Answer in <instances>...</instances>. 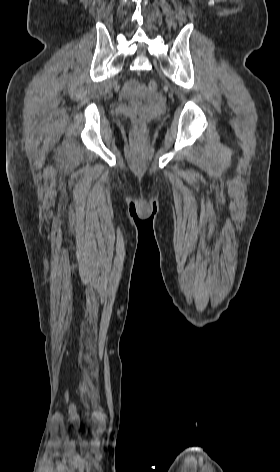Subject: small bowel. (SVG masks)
<instances>
[{
  "instance_id": "1",
  "label": "small bowel",
  "mask_w": 280,
  "mask_h": 472,
  "mask_svg": "<svg viewBox=\"0 0 280 472\" xmlns=\"http://www.w3.org/2000/svg\"><path fill=\"white\" fill-rule=\"evenodd\" d=\"M140 89V84L136 80L128 81L124 86V93L133 94Z\"/></svg>"
}]
</instances>
